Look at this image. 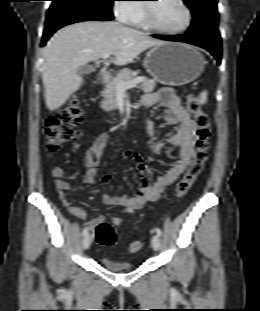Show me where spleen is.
<instances>
[{"instance_id": "3e777b00", "label": "spleen", "mask_w": 260, "mask_h": 311, "mask_svg": "<svg viewBox=\"0 0 260 311\" xmlns=\"http://www.w3.org/2000/svg\"><path fill=\"white\" fill-rule=\"evenodd\" d=\"M207 91H202L200 94H199V97H198V103L199 104H205L206 101H207Z\"/></svg>"}]
</instances>
